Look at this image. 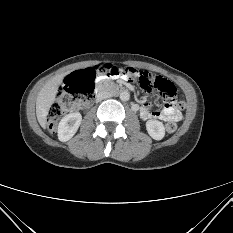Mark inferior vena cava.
<instances>
[{
    "mask_svg": "<svg viewBox=\"0 0 233 233\" xmlns=\"http://www.w3.org/2000/svg\"><path fill=\"white\" fill-rule=\"evenodd\" d=\"M109 97H110L109 94H106V93H99V94H97V96H96V100H97V101H101V100L106 99V98H109Z\"/></svg>",
    "mask_w": 233,
    "mask_h": 233,
    "instance_id": "1",
    "label": "inferior vena cava"
}]
</instances>
